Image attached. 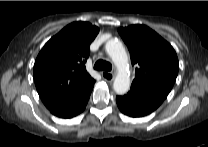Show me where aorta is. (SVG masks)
Wrapping results in <instances>:
<instances>
[{
    "instance_id": "aorta-1",
    "label": "aorta",
    "mask_w": 208,
    "mask_h": 147,
    "mask_svg": "<svg viewBox=\"0 0 208 147\" xmlns=\"http://www.w3.org/2000/svg\"><path fill=\"white\" fill-rule=\"evenodd\" d=\"M105 48L118 70L113 83V89L119 95L125 94L130 88V77L126 72L128 56L125 48L120 41L114 39L109 40Z\"/></svg>"
}]
</instances>
